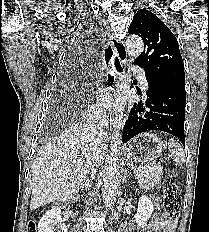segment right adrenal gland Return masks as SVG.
<instances>
[{
	"instance_id": "right-adrenal-gland-1",
	"label": "right adrenal gland",
	"mask_w": 209,
	"mask_h": 232,
	"mask_svg": "<svg viewBox=\"0 0 209 232\" xmlns=\"http://www.w3.org/2000/svg\"><path fill=\"white\" fill-rule=\"evenodd\" d=\"M91 184H92V181L91 180H89V179H87L86 181H85V183L82 185V187H81V191H83V189H86V190H88L90 187H91Z\"/></svg>"
}]
</instances>
